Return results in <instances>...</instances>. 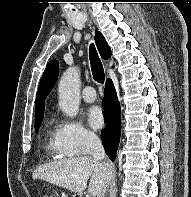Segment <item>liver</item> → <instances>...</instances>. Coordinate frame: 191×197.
<instances>
[{"mask_svg":"<svg viewBox=\"0 0 191 197\" xmlns=\"http://www.w3.org/2000/svg\"><path fill=\"white\" fill-rule=\"evenodd\" d=\"M113 173L111 164L101 163L90 156L73 157L39 166L33 179H42L71 192L82 195L87 188L90 195L97 196L107 185Z\"/></svg>","mask_w":191,"mask_h":197,"instance_id":"1","label":"liver"}]
</instances>
